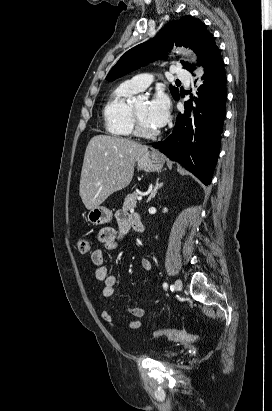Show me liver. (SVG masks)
<instances>
[{
  "label": "liver",
  "mask_w": 272,
  "mask_h": 411,
  "mask_svg": "<svg viewBox=\"0 0 272 411\" xmlns=\"http://www.w3.org/2000/svg\"><path fill=\"white\" fill-rule=\"evenodd\" d=\"M148 147L129 139L96 135L89 141L83 160L79 194L88 210L98 207L111 194L127 187L134 164Z\"/></svg>",
  "instance_id": "6515ba94"
}]
</instances>
